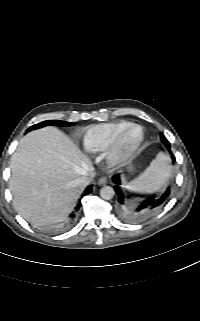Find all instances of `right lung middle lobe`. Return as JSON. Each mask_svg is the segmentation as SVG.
<instances>
[{
  "label": "right lung middle lobe",
  "mask_w": 200,
  "mask_h": 321,
  "mask_svg": "<svg viewBox=\"0 0 200 321\" xmlns=\"http://www.w3.org/2000/svg\"><path fill=\"white\" fill-rule=\"evenodd\" d=\"M47 125L71 126V125H73V123L66 122V121H60V120H47V121H43L41 123L31 126L27 131L32 130V129L41 128V127H44Z\"/></svg>",
  "instance_id": "obj_1"
}]
</instances>
